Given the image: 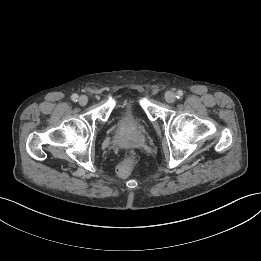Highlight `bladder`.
I'll return each mask as SVG.
<instances>
[{"label":"bladder","mask_w":261,"mask_h":261,"mask_svg":"<svg viewBox=\"0 0 261 261\" xmlns=\"http://www.w3.org/2000/svg\"><path fill=\"white\" fill-rule=\"evenodd\" d=\"M121 106L125 108V113L119 117L117 125L125 130H134L138 127V121L130 114L132 102L129 100L124 101Z\"/></svg>","instance_id":"bladder-1"}]
</instances>
